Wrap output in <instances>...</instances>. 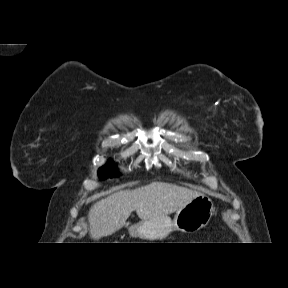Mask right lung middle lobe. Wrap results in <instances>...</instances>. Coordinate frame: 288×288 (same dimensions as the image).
<instances>
[{
    "mask_svg": "<svg viewBox=\"0 0 288 288\" xmlns=\"http://www.w3.org/2000/svg\"><path fill=\"white\" fill-rule=\"evenodd\" d=\"M119 176L114 168V164L109 162L107 166H103L99 169V177L100 179H106L107 177Z\"/></svg>",
    "mask_w": 288,
    "mask_h": 288,
    "instance_id": "1",
    "label": "right lung middle lobe"
}]
</instances>
